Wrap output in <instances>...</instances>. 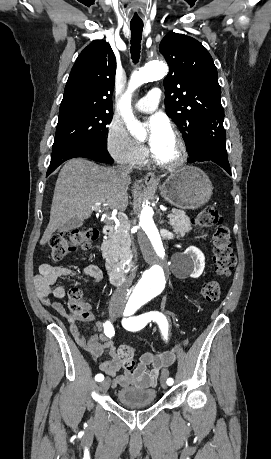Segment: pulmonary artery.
Returning <instances> with one entry per match:
<instances>
[{
  "instance_id": "obj_1",
  "label": "pulmonary artery",
  "mask_w": 271,
  "mask_h": 459,
  "mask_svg": "<svg viewBox=\"0 0 271 459\" xmlns=\"http://www.w3.org/2000/svg\"><path fill=\"white\" fill-rule=\"evenodd\" d=\"M157 104H161V92L159 89H150L148 95L138 99L135 108L138 111L149 113L157 108Z\"/></svg>"
}]
</instances>
